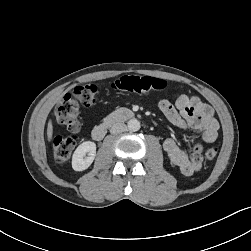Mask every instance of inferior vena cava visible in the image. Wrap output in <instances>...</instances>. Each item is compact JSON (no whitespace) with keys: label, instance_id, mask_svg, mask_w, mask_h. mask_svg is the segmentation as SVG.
Listing matches in <instances>:
<instances>
[{"label":"inferior vena cava","instance_id":"inferior-vena-cava-1","mask_svg":"<svg viewBox=\"0 0 251 251\" xmlns=\"http://www.w3.org/2000/svg\"><path fill=\"white\" fill-rule=\"evenodd\" d=\"M127 126L124 123H115L110 128L111 134H118L126 131Z\"/></svg>","mask_w":251,"mask_h":251}]
</instances>
